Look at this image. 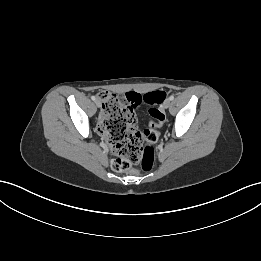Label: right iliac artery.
Masks as SVG:
<instances>
[{
  "label": "right iliac artery",
  "mask_w": 261,
  "mask_h": 261,
  "mask_svg": "<svg viewBox=\"0 0 261 261\" xmlns=\"http://www.w3.org/2000/svg\"><path fill=\"white\" fill-rule=\"evenodd\" d=\"M91 99H92L93 101H95V100H96V97H95V96H91Z\"/></svg>",
  "instance_id": "obj_1"
}]
</instances>
